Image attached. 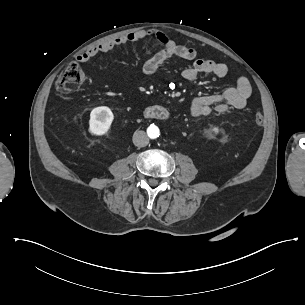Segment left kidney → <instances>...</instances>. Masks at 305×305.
I'll return each mask as SVG.
<instances>
[{"label":"left kidney","mask_w":305,"mask_h":305,"mask_svg":"<svg viewBox=\"0 0 305 305\" xmlns=\"http://www.w3.org/2000/svg\"><path fill=\"white\" fill-rule=\"evenodd\" d=\"M212 131H214L215 134H218L219 129L217 127L213 128Z\"/></svg>","instance_id":"obj_1"}]
</instances>
